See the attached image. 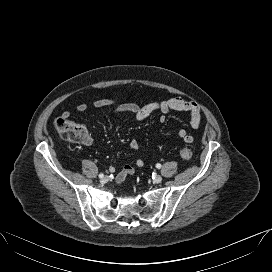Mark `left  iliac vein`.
<instances>
[{
    "label": "left iliac vein",
    "instance_id": "left-iliac-vein-1",
    "mask_svg": "<svg viewBox=\"0 0 272 272\" xmlns=\"http://www.w3.org/2000/svg\"><path fill=\"white\" fill-rule=\"evenodd\" d=\"M154 183L158 184L162 182V177L160 175H155L154 177Z\"/></svg>",
    "mask_w": 272,
    "mask_h": 272
}]
</instances>
